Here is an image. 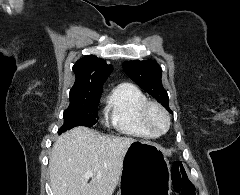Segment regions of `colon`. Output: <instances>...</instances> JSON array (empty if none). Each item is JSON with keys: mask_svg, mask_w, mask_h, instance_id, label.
Masks as SVG:
<instances>
[{"mask_svg": "<svg viewBox=\"0 0 240 195\" xmlns=\"http://www.w3.org/2000/svg\"><path fill=\"white\" fill-rule=\"evenodd\" d=\"M173 173L177 177L181 178L180 182L182 186H176L177 195H196L195 186L188 177L183 166L174 168Z\"/></svg>", "mask_w": 240, "mask_h": 195, "instance_id": "1", "label": "colon"}]
</instances>
